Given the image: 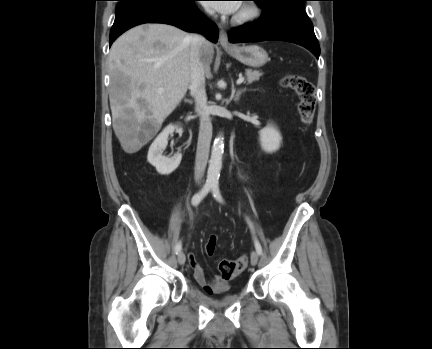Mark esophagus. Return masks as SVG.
<instances>
[{
  "label": "esophagus",
  "instance_id": "esophagus-1",
  "mask_svg": "<svg viewBox=\"0 0 432 349\" xmlns=\"http://www.w3.org/2000/svg\"><path fill=\"white\" fill-rule=\"evenodd\" d=\"M219 44L222 47H233L232 44H230V42L228 40V35H227V33L223 27H220V30H219Z\"/></svg>",
  "mask_w": 432,
  "mask_h": 349
}]
</instances>
